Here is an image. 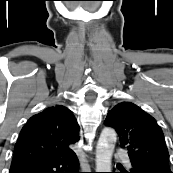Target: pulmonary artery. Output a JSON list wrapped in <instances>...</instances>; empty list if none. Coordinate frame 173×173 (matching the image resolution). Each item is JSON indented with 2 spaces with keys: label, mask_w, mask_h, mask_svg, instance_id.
I'll list each match as a JSON object with an SVG mask.
<instances>
[{
  "label": "pulmonary artery",
  "mask_w": 173,
  "mask_h": 173,
  "mask_svg": "<svg viewBox=\"0 0 173 173\" xmlns=\"http://www.w3.org/2000/svg\"><path fill=\"white\" fill-rule=\"evenodd\" d=\"M115 156L120 157V158H123V160H124V162H125L126 165H129L130 164L124 151L117 150L116 153H115Z\"/></svg>",
  "instance_id": "e3ab8cb5"
}]
</instances>
